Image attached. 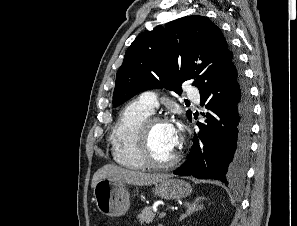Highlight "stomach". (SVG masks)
Segmentation results:
<instances>
[{
  "instance_id": "obj_1",
  "label": "stomach",
  "mask_w": 297,
  "mask_h": 226,
  "mask_svg": "<svg viewBox=\"0 0 297 226\" xmlns=\"http://www.w3.org/2000/svg\"><path fill=\"white\" fill-rule=\"evenodd\" d=\"M192 191L189 183L179 179L166 178L155 184L153 192L164 199H179ZM94 199L99 211L110 217L124 215L129 207V195L124 182L100 179L94 187Z\"/></svg>"
}]
</instances>
